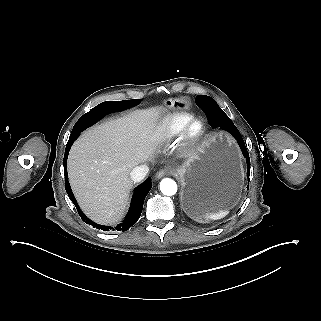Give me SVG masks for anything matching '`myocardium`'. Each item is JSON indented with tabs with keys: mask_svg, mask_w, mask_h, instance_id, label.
I'll use <instances>...</instances> for the list:
<instances>
[{
	"mask_svg": "<svg viewBox=\"0 0 321 321\" xmlns=\"http://www.w3.org/2000/svg\"><path fill=\"white\" fill-rule=\"evenodd\" d=\"M196 131L193 133V128ZM206 135L204 122L197 117L186 121L175 135V148L182 155H188L196 151L203 142Z\"/></svg>",
	"mask_w": 321,
	"mask_h": 321,
	"instance_id": "1",
	"label": "myocardium"
}]
</instances>
